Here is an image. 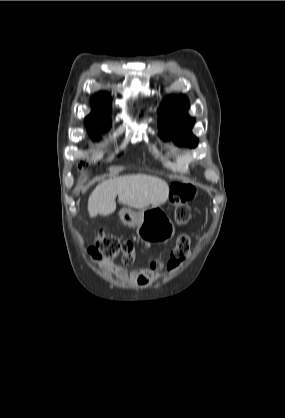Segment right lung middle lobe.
Masks as SVG:
<instances>
[{
  "mask_svg": "<svg viewBox=\"0 0 285 418\" xmlns=\"http://www.w3.org/2000/svg\"><path fill=\"white\" fill-rule=\"evenodd\" d=\"M85 123L92 133L101 132L110 126V125H104L100 123H92V122H86V121ZM92 137L95 138V136H92Z\"/></svg>",
  "mask_w": 285,
  "mask_h": 418,
  "instance_id": "1",
  "label": "right lung middle lobe"
}]
</instances>
